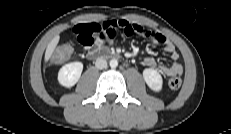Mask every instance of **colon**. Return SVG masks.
<instances>
[{
    "label": "colon",
    "instance_id": "colon-1",
    "mask_svg": "<svg viewBox=\"0 0 231 134\" xmlns=\"http://www.w3.org/2000/svg\"><path fill=\"white\" fill-rule=\"evenodd\" d=\"M71 54V48L69 46H62L58 48L52 55L51 61L54 64H61L65 62ZM182 84V80L179 77H172L168 81V85L171 89H179Z\"/></svg>",
    "mask_w": 231,
    "mask_h": 134
}]
</instances>
